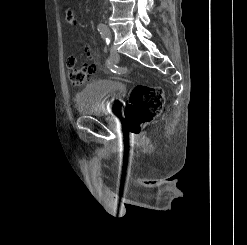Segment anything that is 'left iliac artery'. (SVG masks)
Masks as SVG:
<instances>
[{"mask_svg":"<svg viewBox=\"0 0 247 245\" xmlns=\"http://www.w3.org/2000/svg\"><path fill=\"white\" fill-rule=\"evenodd\" d=\"M98 31L100 32L102 38L105 39L107 45H109L111 36L108 27L105 24L100 23L98 24Z\"/></svg>","mask_w":247,"mask_h":245,"instance_id":"obj_1","label":"left iliac artery"}]
</instances>
